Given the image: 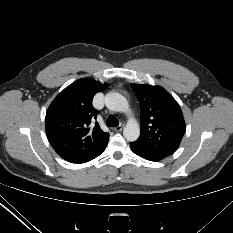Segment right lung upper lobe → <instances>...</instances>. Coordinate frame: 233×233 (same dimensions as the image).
<instances>
[{"mask_svg": "<svg viewBox=\"0 0 233 233\" xmlns=\"http://www.w3.org/2000/svg\"><path fill=\"white\" fill-rule=\"evenodd\" d=\"M107 84L82 78L65 88L49 106L45 127L55 151L71 163H82L100 151L109 141V134L98 123L90 128L98 111L92 100Z\"/></svg>", "mask_w": 233, "mask_h": 233, "instance_id": "cb5924a9", "label": "right lung upper lobe"}]
</instances>
